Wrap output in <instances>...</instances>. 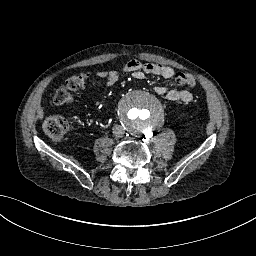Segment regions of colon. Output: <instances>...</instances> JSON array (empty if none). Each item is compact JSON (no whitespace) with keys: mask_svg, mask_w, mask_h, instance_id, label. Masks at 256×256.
Here are the masks:
<instances>
[{"mask_svg":"<svg viewBox=\"0 0 256 256\" xmlns=\"http://www.w3.org/2000/svg\"><path fill=\"white\" fill-rule=\"evenodd\" d=\"M175 81L180 86L194 87L197 84L196 79L188 73L177 72ZM85 86V77L83 74H77L67 78L57 89L53 97V103L56 106H64L71 102L70 93L79 90ZM45 134L53 140H61L67 131V122L65 119L57 116L47 118L43 123Z\"/></svg>","mask_w":256,"mask_h":256,"instance_id":"1","label":"colon"}]
</instances>
